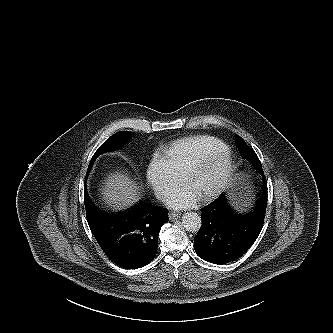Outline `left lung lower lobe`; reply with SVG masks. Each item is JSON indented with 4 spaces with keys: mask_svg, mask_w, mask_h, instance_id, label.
Returning a JSON list of instances; mask_svg holds the SVG:
<instances>
[{
    "mask_svg": "<svg viewBox=\"0 0 333 333\" xmlns=\"http://www.w3.org/2000/svg\"><path fill=\"white\" fill-rule=\"evenodd\" d=\"M250 211L235 210L226 194L201 209L202 225L194 238L196 254L214 264H226L240 258L256 241L264 223L267 183Z\"/></svg>",
    "mask_w": 333,
    "mask_h": 333,
    "instance_id": "left-lung-lower-lobe-1",
    "label": "left lung lower lobe"
}]
</instances>
